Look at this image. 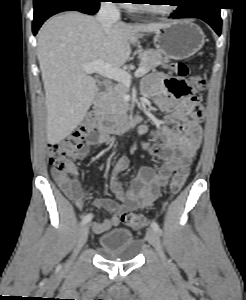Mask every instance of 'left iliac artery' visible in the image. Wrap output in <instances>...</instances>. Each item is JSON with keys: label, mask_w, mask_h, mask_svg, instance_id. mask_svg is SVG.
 <instances>
[{"label": "left iliac artery", "mask_w": 246, "mask_h": 300, "mask_svg": "<svg viewBox=\"0 0 246 300\" xmlns=\"http://www.w3.org/2000/svg\"><path fill=\"white\" fill-rule=\"evenodd\" d=\"M151 227H152L155 231H157V232L160 231L159 225H158V223L155 222V221L152 222Z\"/></svg>", "instance_id": "left-iliac-artery-1"}]
</instances>
